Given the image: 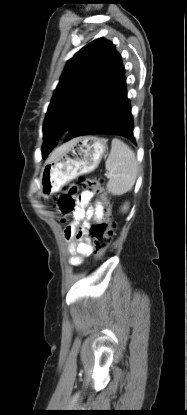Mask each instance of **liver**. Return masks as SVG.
Instances as JSON below:
<instances>
[{"mask_svg":"<svg viewBox=\"0 0 187 415\" xmlns=\"http://www.w3.org/2000/svg\"><path fill=\"white\" fill-rule=\"evenodd\" d=\"M70 145H71V141L68 142V143H66V144H64V145H62V146H60L59 148L55 149L51 153V155H50V157H49V159H48L47 162L52 161L55 158H57L62 152H64L66 149H68L70 147Z\"/></svg>","mask_w":187,"mask_h":415,"instance_id":"obj_1","label":"liver"}]
</instances>
